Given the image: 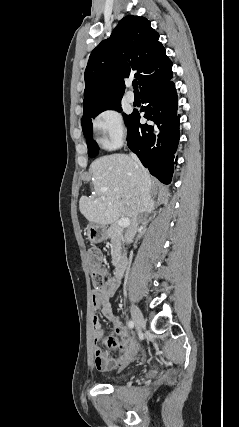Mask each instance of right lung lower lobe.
Returning <instances> with one entry per match:
<instances>
[{
    "label": "right lung lower lobe",
    "mask_w": 239,
    "mask_h": 427,
    "mask_svg": "<svg viewBox=\"0 0 239 427\" xmlns=\"http://www.w3.org/2000/svg\"><path fill=\"white\" fill-rule=\"evenodd\" d=\"M172 72L140 90L144 117L151 124L141 125L140 114L132 113L126 124L128 147L162 183L169 184L174 172V154L179 142L177 93ZM177 158L175 159V162Z\"/></svg>",
    "instance_id": "obj_1"
}]
</instances>
